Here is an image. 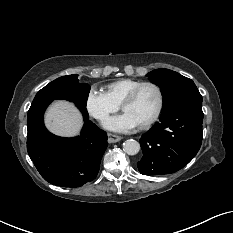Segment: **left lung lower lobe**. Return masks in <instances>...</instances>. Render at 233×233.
I'll return each mask as SVG.
<instances>
[{
  "label": "left lung lower lobe",
  "mask_w": 233,
  "mask_h": 233,
  "mask_svg": "<svg viewBox=\"0 0 233 233\" xmlns=\"http://www.w3.org/2000/svg\"><path fill=\"white\" fill-rule=\"evenodd\" d=\"M202 123V101H188L162 111L160 121L140 139V173L170 174L186 166L200 149Z\"/></svg>",
  "instance_id": "1"
}]
</instances>
